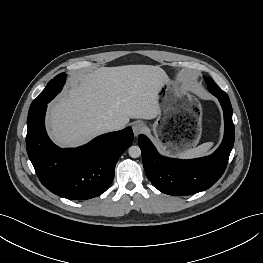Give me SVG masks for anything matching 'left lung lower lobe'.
<instances>
[{
	"mask_svg": "<svg viewBox=\"0 0 263 263\" xmlns=\"http://www.w3.org/2000/svg\"><path fill=\"white\" fill-rule=\"evenodd\" d=\"M210 92L220 101L225 124L223 141L212 155L191 160L167 158L157 152L146 136L141 134L138 137L146 175L163 193L191 195L201 192L215 184L226 169L235 138L232 106L222 89Z\"/></svg>",
	"mask_w": 263,
	"mask_h": 263,
	"instance_id": "1",
	"label": "left lung lower lobe"
}]
</instances>
